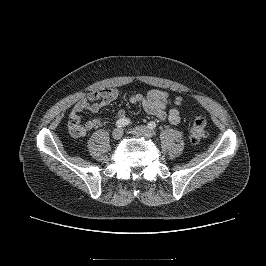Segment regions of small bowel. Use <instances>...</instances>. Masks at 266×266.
Instances as JSON below:
<instances>
[{
	"label": "small bowel",
	"instance_id": "1",
	"mask_svg": "<svg viewBox=\"0 0 266 266\" xmlns=\"http://www.w3.org/2000/svg\"><path fill=\"white\" fill-rule=\"evenodd\" d=\"M118 96L117 89L105 88L93 91L77 101L69 113L68 129L70 134L76 138H82L88 131L98 127L101 124L100 119L96 118L83 122L81 114L84 111L96 113L102 107L108 106L117 100ZM168 99L169 94L166 91L153 89L146 95L140 93L132 94L129 96L128 101L131 104H141L147 114L157 117L160 121L168 120L171 124L178 125L181 122L179 108L182 104V98L176 97L174 106L170 109L167 107ZM117 116L124 118L125 111L120 110Z\"/></svg>",
	"mask_w": 266,
	"mask_h": 266
}]
</instances>
